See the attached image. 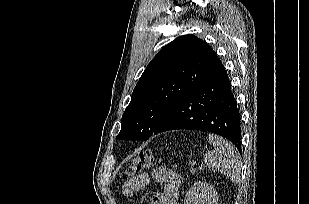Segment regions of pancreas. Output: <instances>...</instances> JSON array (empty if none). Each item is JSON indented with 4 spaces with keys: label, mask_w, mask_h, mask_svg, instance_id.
<instances>
[{
    "label": "pancreas",
    "mask_w": 309,
    "mask_h": 204,
    "mask_svg": "<svg viewBox=\"0 0 309 204\" xmlns=\"http://www.w3.org/2000/svg\"><path fill=\"white\" fill-rule=\"evenodd\" d=\"M195 171H196V170H195L194 168H191V172H192V173H195Z\"/></svg>",
    "instance_id": "cf45deb5"
}]
</instances>
